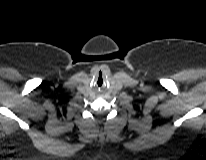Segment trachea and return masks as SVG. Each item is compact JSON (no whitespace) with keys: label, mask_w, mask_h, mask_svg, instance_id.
<instances>
[{"label":"trachea","mask_w":206,"mask_h":160,"mask_svg":"<svg viewBox=\"0 0 206 160\" xmlns=\"http://www.w3.org/2000/svg\"><path fill=\"white\" fill-rule=\"evenodd\" d=\"M97 84H98L99 87L102 86V84H103V78H102V73L101 72L98 75Z\"/></svg>","instance_id":"1"}]
</instances>
